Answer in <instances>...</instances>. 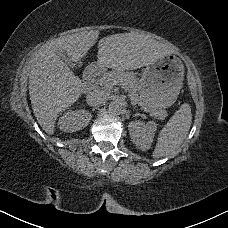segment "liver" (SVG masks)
<instances>
[{
	"label": "liver",
	"mask_w": 228,
	"mask_h": 228,
	"mask_svg": "<svg viewBox=\"0 0 228 228\" xmlns=\"http://www.w3.org/2000/svg\"><path fill=\"white\" fill-rule=\"evenodd\" d=\"M99 37V30L82 31L52 40L30 60L29 95L34 116L48 134L55 131L62 111L86 93L83 81L73 74L56 50L63 49L72 60L87 55ZM97 65L113 70H134L156 63L175 51L136 32L113 34L100 39Z\"/></svg>",
	"instance_id": "liver-1"
}]
</instances>
